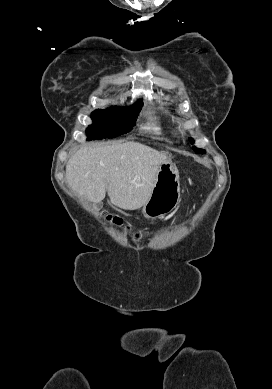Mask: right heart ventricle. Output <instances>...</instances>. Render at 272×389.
Wrapping results in <instances>:
<instances>
[{
  "label": "right heart ventricle",
  "mask_w": 272,
  "mask_h": 389,
  "mask_svg": "<svg viewBox=\"0 0 272 389\" xmlns=\"http://www.w3.org/2000/svg\"><path fill=\"white\" fill-rule=\"evenodd\" d=\"M148 128H149V130H151L152 132H154L156 134H161L164 130L163 125L159 122L152 123L151 125H149Z\"/></svg>",
  "instance_id": "1"
}]
</instances>
